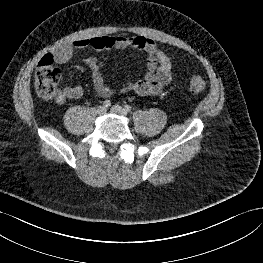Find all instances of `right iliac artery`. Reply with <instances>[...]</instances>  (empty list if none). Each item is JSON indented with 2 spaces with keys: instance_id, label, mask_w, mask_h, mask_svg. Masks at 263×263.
Instances as JSON below:
<instances>
[{
  "instance_id": "obj_1",
  "label": "right iliac artery",
  "mask_w": 263,
  "mask_h": 263,
  "mask_svg": "<svg viewBox=\"0 0 263 263\" xmlns=\"http://www.w3.org/2000/svg\"><path fill=\"white\" fill-rule=\"evenodd\" d=\"M103 105H104L106 108H108V107L111 105L110 100H105L104 103H103Z\"/></svg>"
}]
</instances>
